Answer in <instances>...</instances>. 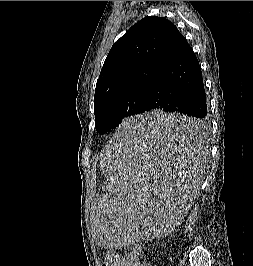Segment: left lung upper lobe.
<instances>
[{"instance_id": "1", "label": "left lung upper lobe", "mask_w": 253, "mask_h": 266, "mask_svg": "<svg viewBox=\"0 0 253 266\" xmlns=\"http://www.w3.org/2000/svg\"><path fill=\"white\" fill-rule=\"evenodd\" d=\"M177 30L166 18L145 17L111 48L94 95L95 128L104 134L126 117L144 112L153 73Z\"/></svg>"}]
</instances>
